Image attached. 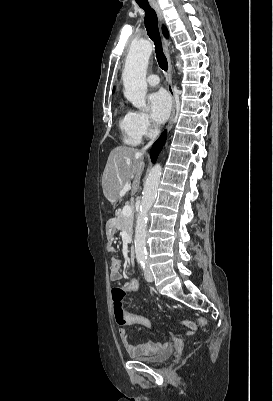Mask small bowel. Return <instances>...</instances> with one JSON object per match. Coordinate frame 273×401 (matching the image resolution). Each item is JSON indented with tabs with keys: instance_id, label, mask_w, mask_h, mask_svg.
<instances>
[{
	"instance_id": "c3829d8e",
	"label": "small bowel",
	"mask_w": 273,
	"mask_h": 401,
	"mask_svg": "<svg viewBox=\"0 0 273 401\" xmlns=\"http://www.w3.org/2000/svg\"><path fill=\"white\" fill-rule=\"evenodd\" d=\"M121 266L122 262L119 258H113L111 260L109 277L112 282H117L121 279ZM125 315L127 318V322L125 325L137 324L147 328L151 327L150 321L142 316L134 315L128 312L127 310H125ZM120 336L124 346L129 350L130 354L135 357L155 355L168 347L167 342H160V343L148 342L141 345H133L129 342L127 330L124 328L120 330ZM172 336L176 337L177 333L173 332ZM185 336L189 337L190 333L186 332Z\"/></svg>"
}]
</instances>
